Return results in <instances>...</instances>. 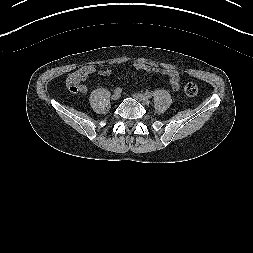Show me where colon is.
Returning a JSON list of instances; mask_svg holds the SVG:
<instances>
[{
    "mask_svg": "<svg viewBox=\"0 0 253 253\" xmlns=\"http://www.w3.org/2000/svg\"><path fill=\"white\" fill-rule=\"evenodd\" d=\"M89 75L88 70L84 68H80L76 72H74L67 80V87L71 92L77 93L80 90V85L82 81H84ZM184 91L186 95L192 97L197 95L198 87L195 83L189 82L185 85Z\"/></svg>",
    "mask_w": 253,
    "mask_h": 253,
    "instance_id": "5ec220e1",
    "label": "colon"
}]
</instances>
